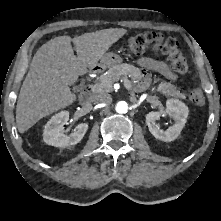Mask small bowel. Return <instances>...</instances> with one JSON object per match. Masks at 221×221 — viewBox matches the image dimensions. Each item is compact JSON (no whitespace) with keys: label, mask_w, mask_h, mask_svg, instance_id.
Returning a JSON list of instances; mask_svg holds the SVG:
<instances>
[{"label":"small bowel","mask_w":221,"mask_h":221,"mask_svg":"<svg viewBox=\"0 0 221 221\" xmlns=\"http://www.w3.org/2000/svg\"><path fill=\"white\" fill-rule=\"evenodd\" d=\"M138 65L143 70L156 71L165 77L167 80L174 81L177 79V75L169 68V66L163 62L149 57H142L138 59ZM149 83V76L144 72L140 87H145Z\"/></svg>","instance_id":"small-bowel-1"}]
</instances>
